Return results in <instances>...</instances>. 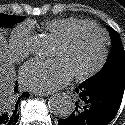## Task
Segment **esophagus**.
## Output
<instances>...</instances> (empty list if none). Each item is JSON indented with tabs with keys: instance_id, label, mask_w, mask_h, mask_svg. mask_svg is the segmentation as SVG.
Listing matches in <instances>:
<instances>
[{
	"instance_id": "obj_1",
	"label": "esophagus",
	"mask_w": 125,
	"mask_h": 125,
	"mask_svg": "<svg viewBox=\"0 0 125 125\" xmlns=\"http://www.w3.org/2000/svg\"><path fill=\"white\" fill-rule=\"evenodd\" d=\"M49 94H51L50 92H47V93H39V92H35V95L37 96H48Z\"/></svg>"
}]
</instances>
